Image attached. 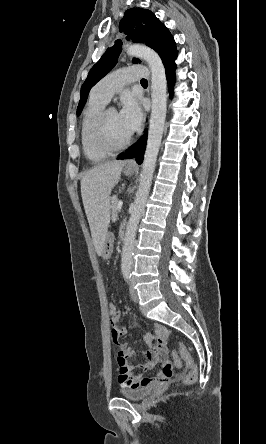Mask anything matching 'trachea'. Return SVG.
<instances>
[{
  "mask_svg": "<svg viewBox=\"0 0 266 444\" xmlns=\"http://www.w3.org/2000/svg\"><path fill=\"white\" fill-rule=\"evenodd\" d=\"M147 83V80L146 79H141V83Z\"/></svg>",
  "mask_w": 266,
  "mask_h": 444,
  "instance_id": "3493384b",
  "label": "trachea"
}]
</instances>
